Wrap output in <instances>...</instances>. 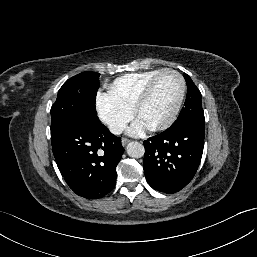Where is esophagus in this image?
<instances>
[{
	"instance_id": "obj_1",
	"label": "esophagus",
	"mask_w": 257,
	"mask_h": 257,
	"mask_svg": "<svg viewBox=\"0 0 257 257\" xmlns=\"http://www.w3.org/2000/svg\"><path fill=\"white\" fill-rule=\"evenodd\" d=\"M129 142H130V140L127 138H122V140H121V143L123 146H126Z\"/></svg>"
}]
</instances>
